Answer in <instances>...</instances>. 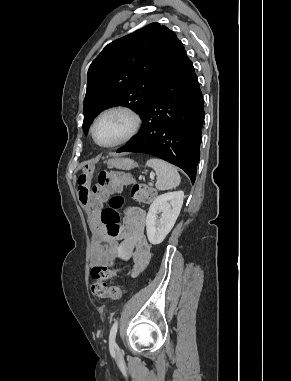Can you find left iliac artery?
Listing matches in <instances>:
<instances>
[{
    "mask_svg": "<svg viewBox=\"0 0 291 381\" xmlns=\"http://www.w3.org/2000/svg\"><path fill=\"white\" fill-rule=\"evenodd\" d=\"M117 329H118V321H115L111 327L110 335H109V346L112 348L117 346L115 342Z\"/></svg>",
    "mask_w": 291,
    "mask_h": 381,
    "instance_id": "44dca946",
    "label": "left iliac artery"
}]
</instances>
